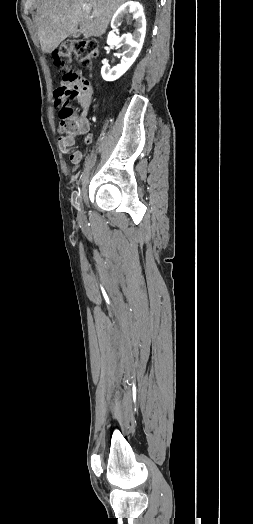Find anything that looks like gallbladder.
<instances>
[{
	"label": "gallbladder",
	"mask_w": 253,
	"mask_h": 524,
	"mask_svg": "<svg viewBox=\"0 0 253 524\" xmlns=\"http://www.w3.org/2000/svg\"><path fill=\"white\" fill-rule=\"evenodd\" d=\"M79 33H80L79 30L75 31V32L73 33V37H77V36L79 35Z\"/></svg>",
	"instance_id": "gallbladder-1"
}]
</instances>
